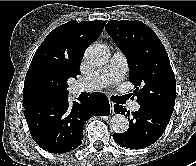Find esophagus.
<instances>
[{
	"label": "esophagus",
	"mask_w": 196,
	"mask_h": 166,
	"mask_svg": "<svg viewBox=\"0 0 196 166\" xmlns=\"http://www.w3.org/2000/svg\"><path fill=\"white\" fill-rule=\"evenodd\" d=\"M109 104H110L111 112H112V114H114V102L109 100Z\"/></svg>",
	"instance_id": "esophagus-1"
}]
</instances>
